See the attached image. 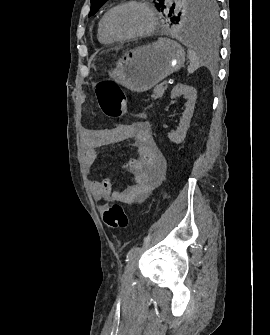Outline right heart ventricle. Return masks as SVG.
<instances>
[{
	"label": "right heart ventricle",
	"instance_id": "e07e8e85",
	"mask_svg": "<svg viewBox=\"0 0 270 335\" xmlns=\"http://www.w3.org/2000/svg\"><path fill=\"white\" fill-rule=\"evenodd\" d=\"M109 12V9L101 16L98 24V38L103 44H112L117 41L116 38L112 37L105 28V19Z\"/></svg>",
	"mask_w": 270,
	"mask_h": 335
}]
</instances>
